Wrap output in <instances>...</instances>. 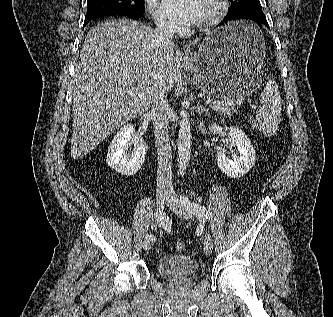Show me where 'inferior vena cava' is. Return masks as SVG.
Returning <instances> with one entry per match:
<instances>
[{"instance_id": "obj_1", "label": "inferior vena cava", "mask_w": 333, "mask_h": 317, "mask_svg": "<svg viewBox=\"0 0 333 317\" xmlns=\"http://www.w3.org/2000/svg\"><path fill=\"white\" fill-rule=\"evenodd\" d=\"M161 41L172 43L174 27L168 22H158L155 29ZM171 108L167 91L158 85L152 100L151 115L153 118L155 144L158 155L157 187L159 189L172 188V150L169 142L168 124Z\"/></svg>"}]
</instances>
